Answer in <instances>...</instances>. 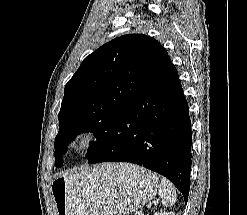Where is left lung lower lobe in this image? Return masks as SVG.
I'll list each match as a JSON object with an SVG mask.
<instances>
[{"mask_svg": "<svg viewBox=\"0 0 247 215\" xmlns=\"http://www.w3.org/2000/svg\"><path fill=\"white\" fill-rule=\"evenodd\" d=\"M191 143L188 103L167 54L108 133L106 143L87 156V162L144 166L172 181L187 203Z\"/></svg>", "mask_w": 247, "mask_h": 215, "instance_id": "obj_1", "label": "left lung lower lobe"}]
</instances>
